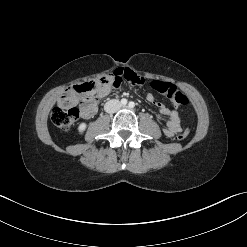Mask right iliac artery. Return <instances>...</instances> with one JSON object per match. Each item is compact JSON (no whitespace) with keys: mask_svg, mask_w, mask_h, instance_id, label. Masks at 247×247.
<instances>
[{"mask_svg":"<svg viewBox=\"0 0 247 247\" xmlns=\"http://www.w3.org/2000/svg\"><path fill=\"white\" fill-rule=\"evenodd\" d=\"M127 102H128L127 99H125V98L121 99V104H122V105H126Z\"/></svg>","mask_w":247,"mask_h":247,"instance_id":"1","label":"right iliac artery"}]
</instances>
